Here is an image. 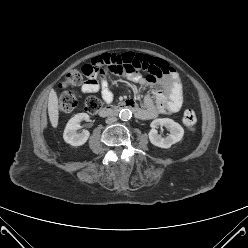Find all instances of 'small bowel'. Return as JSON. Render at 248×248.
I'll use <instances>...</instances> for the list:
<instances>
[{
	"label": "small bowel",
	"instance_id": "1",
	"mask_svg": "<svg viewBox=\"0 0 248 248\" xmlns=\"http://www.w3.org/2000/svg\"><path fill=\"white\" fill-rule=\"evenodd\" d=\"M119 62L120 72L144 87H152L153 93L145 95V108L137 114L142 120L178 112L183 103V84L175 69L166 61L142 53L124 52L112 55ZM148 73L146 77L138 71ZM84 93L100 92L105 103L113 101V93L107 80L98 76H89L81 84Z\"/></svg>",
	"mask_w": 248,
	"mask_h": 248
}]
</instances>
